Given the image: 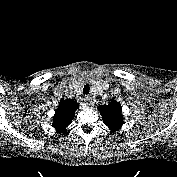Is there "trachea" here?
Masks as SVG:
<instances>
[{
    "instance_id": "obj_1",
    "label": "trachea",
    "mask_w": 177,
    "mask_h": 177,
    "mask_svg": "<svg viewBox=\"0 0 177 177\" xmlns=\"http://www.w3.org/2000/svg\"><path fill=\"white\" fill-rule=\"evenodd\" d=\"M89 92H90V86H89V84H86L83 88V94L87 95V94H89Z\"/></svg>"
}]
</instances>
